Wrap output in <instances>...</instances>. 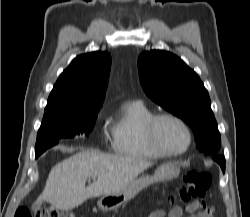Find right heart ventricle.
Wrapping results in <instances>:
<instances>
[{
  "label": "right heart ventricle",
  "instance_id": "e07e8e85",
  "mask_svg": "<svg viewBox=\"0 0 250 217\" xmlns=\"http://www.w3.org/2000/svg\"><path fill=\"white\" fill-rule=\"evenodd\" d=\"M152 115L153 111L141 101H129L123 104L110 124L113 151L140 159L164 157L150 145L145 135V123Z\"/></svg>",
  "mask_w": 250,
  "mask_h": 217
}]
</instances>
